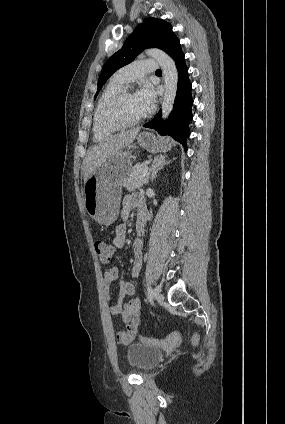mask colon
Listing matches in <instances>:
<instances>
[{"label":"colon","mask_w":285,"mask_h":424,"mask_svg":"<svg viewBox=\"0 0 285 424\" xmlns=\"http://www.w3.org/2000/svg\"><path fill=\"white\" fill-rule=\"evenodd\" d=\"M95 250L96 253L98 255L99 261L102 264H109L114 256L115 250L114 248L103 242V241H97L95 243ZM140 339L142 341L145 342H150V343H158V344H163V345H175L178 344L179 342H181L182 340V335L179 332H174L172 334H170L169 336H167L165 339L163 340H158L155 338H148V337H143L141 336Z\"/></svg>","instance_id":"colon-1"}]
</instances>
